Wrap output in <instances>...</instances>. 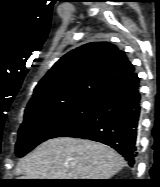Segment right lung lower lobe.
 Masks as SVG:
<instances>
[{
    "instance_id": "98d812e1",
    "label": "right lung lower lobe",
    "mask_w": 160,
    "mask_h": 187,
    "mask_svg": "<svg viewBox=\"0 0 160 187\" xmlns=\"http://www.w3.org/2000/svg\"><path fill=\"white\" fill-rule=\"evenodd\" d=\"M139 87V78L133 72L103 95L89 116L60 137L83 138L109 145L131 167L134 166L141 110Z\"/></svg>"
}]
</instances>
